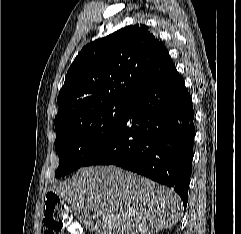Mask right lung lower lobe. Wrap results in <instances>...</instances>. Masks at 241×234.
I'll return each instance as SVG.
<instances>
[{"label":"right lung lower lobe","instance_id":"1","mask_svg":"<svg viewBox=\"0 0 241 234\" xmlns=\"http://www.w3.org/2000/svg\"><path fill=\"white\" fill-rule=\"evenodd\" d=\"M194 111L173 65L128 104L106 143L83 166L116 165L174 188L184 208L192 170Z\"/></svg>","mask_w":241,"mask_h":234}]
</instances>
